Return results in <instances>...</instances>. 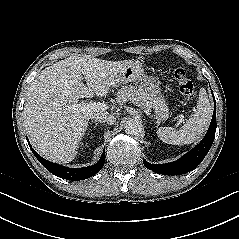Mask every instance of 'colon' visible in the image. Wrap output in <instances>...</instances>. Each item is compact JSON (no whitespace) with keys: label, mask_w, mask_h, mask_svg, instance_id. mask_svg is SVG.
Returning a JSON list of instances; mask_svg holds the SVG:
<instances>
[{"label":"colon","mask_w":239,"mask_h":239,"mask_svg":"<svg viewBox=\"0 0 239 239\" xmlns=\"http://www.w3.org/2000/svg\"><path fill=\"white\" fill-rule=\"evenodd\" d=\"M174 76L178 83L180 93L189 101L195 98L196 91L194 84L187 77L186 71L182 68H178L174 72Z\"/></svg>","instance_id":"1"}]
</instances>
